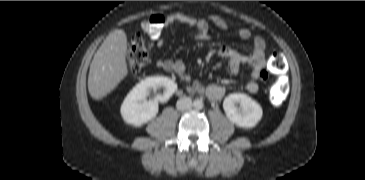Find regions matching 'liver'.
<instances>
[{"mask_svg":"<svg viewBox=\"0 0 365 180\" xmlns=\"http://www.w3.org/2000/svg\"><path fill=\"white\" fill-rule=\"evenodd\" d=\"M126 51L123 30H114L103 41L90 64L88 90L93 99L107 96L127 76Z\"/></svg>","mask_w":365,"mask_h":180,"instance_id":"obj_1","label":"liver"}]
</instances>
